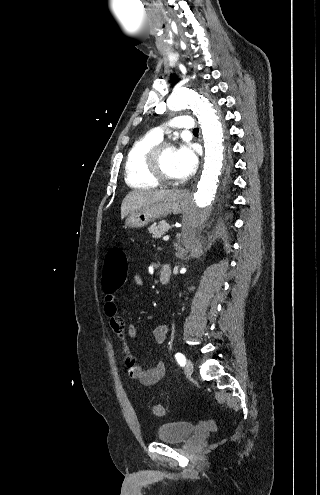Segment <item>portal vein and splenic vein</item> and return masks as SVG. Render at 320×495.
Wrapping results in <instances>:
<instances>
[{
  "mask_svg": "<svg viewBox=\"0 0 320 495\" xmlns=\"http://www.w3.org/2000/svg\"><path fill=\"white\" fill-rule=\"evenodd\" d=\"M168 238H169L168 235H166V236L163 237L164 240H167Z\"/></svg>",
  "mask_w": 320,
  "mask_h": 495,
  "instance_id": "1",
  "label": "portal vein and splenic vein"
}]
</instances>
